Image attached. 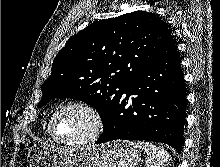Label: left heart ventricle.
Listing matches in <instances>:
<instances>
[{"instance_id": "b2bd125f", "label": "left heart ventricle", "mask_w": 220, "mask_h": 167, "mask_svg": "<svg viewBox=\"0 0 220 167\" xmlns=\"http://www.w3.org/2000/svg\"><path fill=\"white\" fill-rule=\"evenodd\" d=\"M91 129L89 116L79 109H68L56 119L54 131L58 138L70 140L86 135Z\"/></svg>"}]
</instances>
